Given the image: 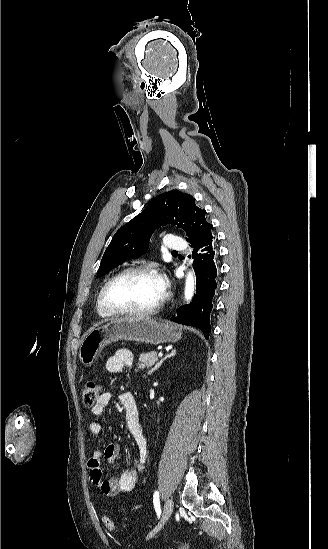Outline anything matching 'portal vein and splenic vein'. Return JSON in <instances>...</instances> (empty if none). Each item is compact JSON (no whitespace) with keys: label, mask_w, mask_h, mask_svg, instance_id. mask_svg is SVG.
<instances>
[{"label":"portal vein and splenic vein","mask_w":328,"mask_h":549,"mask_svg":"<svg viewBox=\"0 0 328 549\" xmlns=\"http://www.w3.org/2000/svg\"><path fill=\"white\" fill-rule=\"evenodd\" d=\"M158 356H161V357H162V353H158Z\"/></svg>","instance_id":"obj_1"}]
</instances>
